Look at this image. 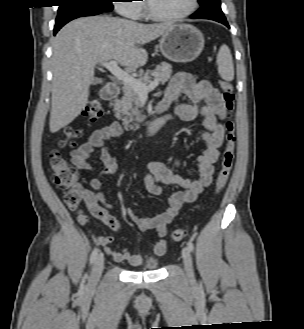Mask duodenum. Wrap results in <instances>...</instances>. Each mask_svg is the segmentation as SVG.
Returning a JSON list of instances; mask_svg holds the SVG:
<instances>
[{
	"instance_id": "410a0bca",
	"label": "duodenum",
	"mask_w": 304,
	"mask_h": 329,
	"mask_svg": "<svg viewBox=\"0 0 304 329\" xmlns=\"http://www.w3.org/2000/svg\"><path fill=\"white\" fill-rule=\"evenodd\" d=\"M118 86L116 83L108 82L105 84L101 91V97L105 100H111L115 98L118 94ZM164 111V105H159L157 108V113L148 120L143 121H133L130 124V131L136 132L140 129H144L149 135L157 132L167 121V118L161 115Z\"/></svg>"
}]
</instances>
